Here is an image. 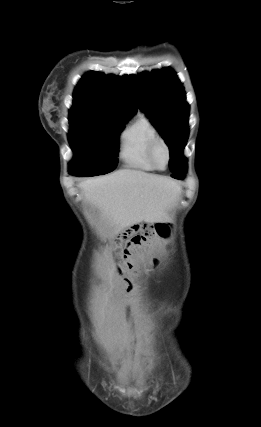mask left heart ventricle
<instances>
[{
  "mask_svg": "<svg viewBox=\"0 0 261 427\" xmlns=\"http://www.w3.org/2000/svg\"><path fill=\"white\" fill-rule=\"evenodd\" d=\"M157 164L160 167H163L166 164L167 156L163 148H159L156 155Z\"/></svg>",
  "mask_w": 261,
  "mask_h": 427,
  "instance_id": "left-heart-ventricle-1",
  "label": "left heart ventricle"
}]
</instances>
